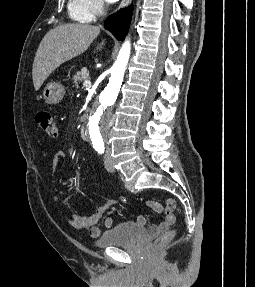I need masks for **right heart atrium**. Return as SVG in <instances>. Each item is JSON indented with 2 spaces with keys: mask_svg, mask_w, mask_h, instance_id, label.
I'll return each mask as SVG.
<instances>
[{
  "mask_svg": "<svg viewBox=\"0 0 255 287\" xmlns=\"http://www.w3.org/2000/svg\"><path fill=\"white\" fill-rule=\"evenodd\" d=\"M146 33H152V32H146ZM146 39H152V38H146Z\"/></svg>",
  "mask_w": 255,
  "mask_h": 287,
  "instance_id": "d8ad5b80",
  "label": "right heart atrium"
}]
</instances>
